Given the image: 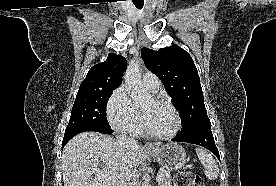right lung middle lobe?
<instances>
[{"label": "right lung middle lobe", "instance_id": "right-lung-middle-lobe-1", "mask_svg": "<svg viewBox=\"0 0 276 186\" xmlns=\"http://www.w3.org/2000/svg\"><path fill=\"white\" fill-rule=\"evenodd\" d=\"M114 90L115 89L79 90L66 130L88 125L110 127L106 119V104Z\"/></svg>", "mask_w": 276, "mask_h": 186}]
</instances>
